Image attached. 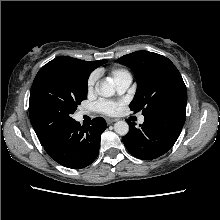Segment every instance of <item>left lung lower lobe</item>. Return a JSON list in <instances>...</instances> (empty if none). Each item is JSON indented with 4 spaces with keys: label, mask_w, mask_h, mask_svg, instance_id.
<instances>
[{
    "label": "left lung lower lobe",
    "mask_w": 220,
    "mask_h": 220,
    "mask_svg": "<svg viewBox=\"0 0 220 220\" xmlns=\"http://www.w3.org/2000/svg\"><path fill=\"white\" fill-rule=\"evenodd\" d=\"M186 119V106L157 109L144 115V123L130 130L122 141L127 150L142 160H152L165 154L178 139Z\"/></svg>",
    "instance_id": "0a47b994"
}]
</instances>
